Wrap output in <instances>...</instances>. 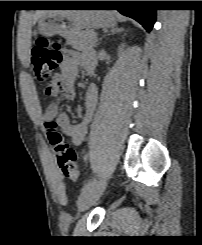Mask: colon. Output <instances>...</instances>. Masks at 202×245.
I'll return each mask as SVG.
<instances>
[{
  "label": "colon",
  "mask_w": 202,
  "mask_h": 245,
  "mask_svg": "<svg viewBox=\"0 0 202 245\" xmlns=\"http://www.w3.org/2000/svg\"><path fill=\"white\" fill-rule=\"evenodd\" d=\"M62 60L63 55L58 44L51 45L47 38H39L31 53L35 79L41 83L48 82ZM54 91L55 86L50 84L45 89V95L53 96ZM45 126L60 172L67 179L79 178L81 173L76 164V152L64 142V138L57 129L54 120L45 122Z\"/></svg>",
  "instance_id": "colon-1"
}]
</instances>
